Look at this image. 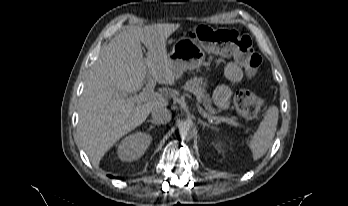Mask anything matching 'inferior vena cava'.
<instances>
[{"instance_id": "obj_1", "label": "inferior vena cava", "mask_w": 348, "mask_h": 206, "mask_svg": "<svg viewBox=\"0 0 348 206\" xmlns=\"http://www.w3.org/2000/svg\"><path fill=\"white\" fill-rule=\"evenodd\" d=\"M151 116H152L153 120L156 121L158 124H166L172 118V114H171L170 110H168L167 108H163V107L155 108L152 111Z\"/></svg>"}]
</instances>
